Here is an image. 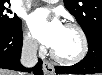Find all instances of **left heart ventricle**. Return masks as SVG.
Masks as SVG:
<instances>
[{"instance_id": "b2bd125f", "label": "left heart ventricle", "mask_w": 102, "mask_h": 75, "mask_svg": "<svg viewBox=\"0 0 102 75\" xmlns=\"http://www.w3.org/2000/svg\"><path fill=\"white\" fill-rule=\"evenodd\" d=\"M52 49L63 58L75 57L81 49V40L78 33L71 28L63 26Z\"/></svg>"}]
</instances>
